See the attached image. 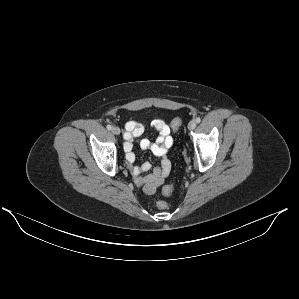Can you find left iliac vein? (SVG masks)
Here are the masks:
<instances>
[{
  "instance_id": "1",
  "label": "left iliac vein",
  "mask_w": 299,
  "mask_h": 299,
  "mask_svg": "<svg viewBox=\"0 0 299 299\" xmlns=\"http://www.w3.org/2000/svg\"><path fill=\"white\" fill-rule=\"evenodd\" d=\"M196 127V122L194 120H191L188 124V129L189 130H194Z\"/></svg>"
}]
</instances>
